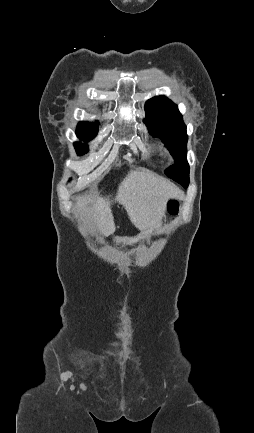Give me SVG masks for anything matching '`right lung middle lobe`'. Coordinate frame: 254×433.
<instances>
[{"mask_svg": "<svg viewBox=\"0 0 254 433\" xmlns=\"http://www.w3.org/2000/svg\"><path fill=\"white\" fill-rule=\"evenodd\" d=\"M98 133V126L96 123L82 121L78 124L76 134L78 138L84 141L93 139ZM74 147L78 155L87 153L88 146L82 143H75Z\"/></svg>", "mask_w": 254, "mask_h": 433, "instance_id": "dd1d6c3e", "label": "right lung middle lobe"}]
</instances>
